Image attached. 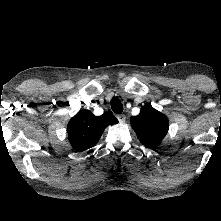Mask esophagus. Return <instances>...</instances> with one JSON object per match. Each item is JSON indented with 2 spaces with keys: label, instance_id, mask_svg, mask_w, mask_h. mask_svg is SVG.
Instances as JSON below:
<instances>
[{
  "label": "esophagus",
  "instance_id": "obj_1",
  "mask_svg": "<svg viewBox=\"0 0 221 221\" xmlns=\"http://www.w3.org/2000/svg\"><path fill=\"white\" fill-rule=\"evenodd\" d=\"M117 119L119 120V122L123 123L126 120V116L124 114H118Z\"/></svg>",
  "mask_w": 221,
  "mask_h": 221
}]
</instances>
